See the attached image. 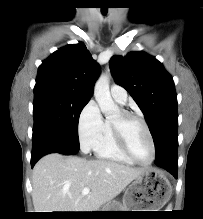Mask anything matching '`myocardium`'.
<instances>
[{
	"instance_id": "obj_1",
	"label": "myocardium",
	"mask_w": 203,
	"mask_h": 219,
	"mask_svg": "<svg viewBox=\"0 0 203 219\" xmlns=\"http://www.w3.org/2000/svg\"><path fill=\"white\" fill-rule=\"evenodd\" d=\"M133 119L141 122L149 138L151 149H152V157L148 162L139 161L137 158H135V156L132 154L129 148L127 135H126V126L128 122ZM112 127L114 130L116 141L120 149L132 162L142 166H147L153 163L156 157V145L150 127L142 115L133 111L121 110L119 112L118 118L112 120Z\"/></svg>"
}]
</instances>
